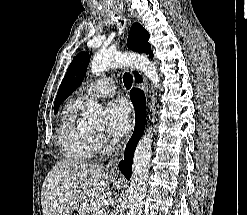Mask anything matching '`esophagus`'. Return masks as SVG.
Here are the masks:
<instances>
[{
	"instance_id": "esophagus-1",
	"label": "esophagus",
	"mask_w": 247,
	"mask_h": 215,
	"mask_svg": "<svg viewBox=\"0 0 247 215\" xmlns=\"http://www.w3.org/2000/svg\"><path fill=\"white\" fill-rule=\"evenodd\" d=\"M131 74L133 76V84L136 88L146 91L148 90L147 82L145 77L142 75V73L136 69L131 68ZM135 124V114H132V123H131V132L134 128ZM130 135L127 137V140L129 139ZM125 150V143L119 148V150L115 153V155L110 159V161L107 164V170L110 172H116L118 169V161L123 156V152Z\"/></svg>"
}]
</instances>
